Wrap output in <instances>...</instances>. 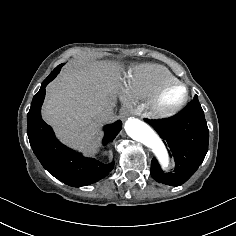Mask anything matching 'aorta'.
Wrapping results in <instances>:
<instances>
[{
	"label": "aorta",
	"instance_id": "1",
	"mask_svg": "<svg viewBox=\"0 0 236 236\" xmlns=\"http://www.w3.org/2000/svg\"><path fill=\"white\" fill-rule=\"evenodd\" d=\"M124 128L129 137L150 148L162 170L169 172L170 157L167 148L149 125L137 118H129Z\"/></svg>",
	"mask_w": 236,
	"mask_h": 236
}]
</instances>
